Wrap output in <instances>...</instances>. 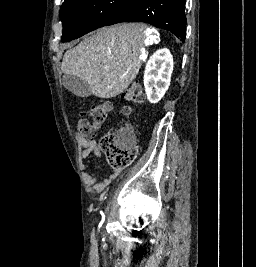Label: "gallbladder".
I'll return each instance as SVG.
<instances>
[{
	"label": "gallbladder",
	"instance_id": "1",
	"mask_svg": "<svg viewBox=\"0 0 256 267\" xmlns=\"http://www.w3.org/2000/svg\"><path fill=\"white\" fill-rule=\"evenodd\" d=\"M61 84H63L66 90L72 92L74 96H79V98H88L91 96V88L88 82L77 78V76H69V74H64L61 78Z\"/></svg>",
	"mask_w": 256,
	"mask_h": 267
}]
</instances>
